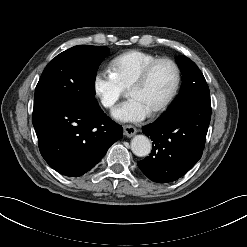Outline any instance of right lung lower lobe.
<instances>
[{"label":"right lung lower lobe","mask_w":247,"mask_h":247,"mask_svg":"<svg viewBox=\"0 0 247 247\" xmlns=\"http://www.w3.org/2000/svg\"><path fill=\"white\" fill-rule=\"evenodd\" d=\"M32 122L45 161L69 177L93 168L123 133L100 107L88 109L64 98L35 107Z\"/></svg>","instance_id":"98d812e1"}]
</instances>
